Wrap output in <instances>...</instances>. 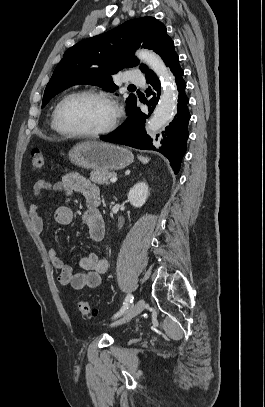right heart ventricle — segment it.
<instances>
[{
    "label": "right heart ventricle",
    "mask_w": 265,
    "mask_h": 407,
    "mask_svg": "<svg viewBox=\"0 0 265 407\" xmlns=\"http://www.w3.org/2000/svg\"><path fill=\"white\" fill-rule=\"evenodd\" d=\"M50 128L55 131L58 132L55 126V122H54V113H52V117H51V122H50Z\"/></svg>",
    "instance_id": "1"
}]
</instances>
